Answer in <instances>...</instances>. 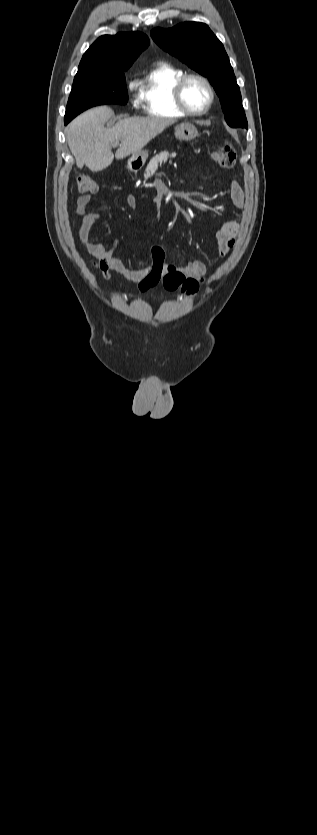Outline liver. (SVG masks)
I'll return each mask as SVG.
<instances>
[{
	"mask_svg": "<svg viewBox=\"0 0 317 835\" xmlns=\"http://www.w3.org/2000/svg\"><path fill=\"white\" fill-rule=\"evenodd\" d=\"M113 117L112 109L100 106L82 113L69 124L66 138L79 168L86 165L93 172L105 169L114 159L112 146L119 142L116 159L137 154L172 124L161 118L130 117L105 128V123Z\"/></svg>",
	"mask_w": 317,
	"mask_h": 835,
	"instance_id": "1",
	"label": "liver"
}]
</instances>
